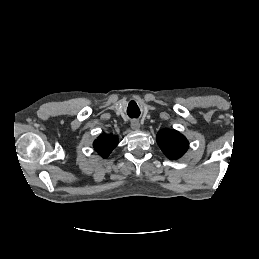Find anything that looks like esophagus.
I'll list each match as a JSON object with an SVG mask.
<instances>
[{
    "label": "esophagus",
    "mask_w": 259,
    "mask_h": 259,
    "mask_svg": "<svg viewBox=\"0 0 259 259\" xmlns=\"http://www.w3.org/2000/svg\"><path fill=\"white\" fill-rule=\"evenodd\" d=\"M131 128L133 129V130H139L140 129V123H139V121L138 120H136V119H134V120H132L131 121Z\"/></svg>",
    "instance_id": "esophagus-1"
}]
</instances>
